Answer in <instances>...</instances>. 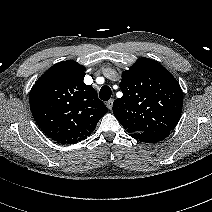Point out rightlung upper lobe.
Returning a JSON list of instances; mask_svg holds the SVG:
<instances>
[{"mask_svg": "<svg viewBox=\"0 0 212 212\" xmlns=\"http://www.w3.org/2000/svg\"><path fill=\"white\" fill-rule=\"evenodd\" d=\"M85 67L73 60L49 68L30 93L32 115L41 131L61 144L86 139L108 109L83 82Z\"/></svg>", "mask_w": 212, "mask_h": 212, "instance_id": "obj_1", "label": "right lung upper lobe"}]
</instances>
